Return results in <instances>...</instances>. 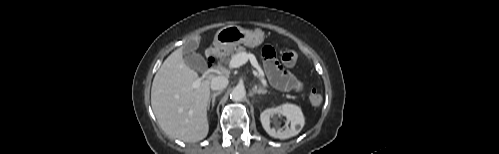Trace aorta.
Here are the masks:
<instances>
[{
  "instance_id": "obj_1",
  "label": "aorta",
  "mask_w": 499,
  "mask_h": 154,
  "mask_svg": "<svg viewBox=\"0 0 499 154\" xmlns=\"http://www.w3.org/2000/svg\"><path fill=\"white\" fill-rule=\"evenodd\" d=\"M246 96V91L243 87H235L233 88L231 94H230V98L233 100V101H241L244 99V97Z\"/></svg>"
}]
</instances>
